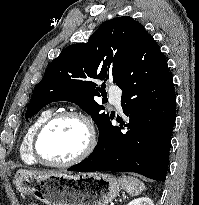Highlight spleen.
<instances>
[{
  "mask_svg": "<svg viewBox=\"0 0 199 205\" xmlns=\"http://www.w3.org/2000/svg\"><path fill=\"white\" fill-rule=\"evenodd\" d=\"M119 182L124 190L131 196H137L145 189V185L142 181L131 176L123 175L119 177Z\"/></svg>",
  "mask_w": 199,
  "mask_h": 205,
  "instance_id": "obj_1",
  "label": "spleen"
}]
</instances>
